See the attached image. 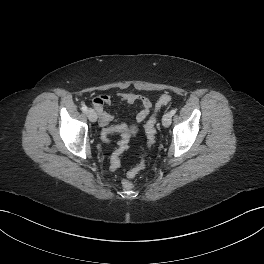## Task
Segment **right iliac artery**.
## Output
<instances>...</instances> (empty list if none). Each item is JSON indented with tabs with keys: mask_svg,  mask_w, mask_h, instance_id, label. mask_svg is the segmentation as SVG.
Instances as JSON below:
<instances>
[{
	"mask_svg": "<svg viewBox=\"0 0 264 264\" xmlns=\"http://www.w3.org/2000/svg\"><path fill=\"white\" fill-rule=\"evenodd\" d=\"M81 110H82L83 112H86V111H87V106H86V105H83V106L81 107Z\"/></svg>",
	"mask_w": 264,
	"mask_h": 264,
	"instance_id": "obj_1",
	"label": "right iliac artery"
}]
</instances>
